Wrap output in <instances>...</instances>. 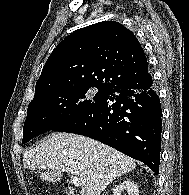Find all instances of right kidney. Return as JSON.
<instances>
[{
    "label": "right kidney",
    "instance_id": "ca27d5eb",
    "mask_svg": "<svg viewBox=\"0 0 189 195\" xmlns=\"http://www.w3.org/2000/svg\"><path fill=\"white\" fill-rule=\"evenodd\" d=\"M124 191H127L128 195H139V189L137 184L131 180H125L113 190V195H123Z\"/></svg>",
    "mask_w": 189,
    "mask_h": 195
}]
</instances>
